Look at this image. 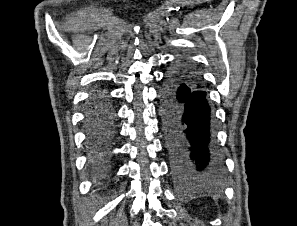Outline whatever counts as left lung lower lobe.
<instances>
[{"mask_svg":"<svg viewBox=\"0 0 297 226\" xmlns=\"http://www.w3.org/2000/svg\"><path fill=\"white\" fill-rule=\"evenodd\" d=\"M160 113L175 179L188 186H203L220 178L211 109L202 86L173 67L161 92Z\"/></svg>","mask_w":297,"mask_h":226,"instance_id":"left-lung-lower-lobe-1","label":"left lung lower lobe"}]
</instances>
